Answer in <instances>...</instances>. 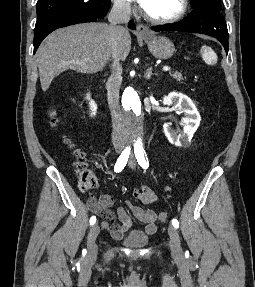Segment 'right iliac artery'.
Wrapping results in <instances>:
<instances>
[{"label":"right iliac artery","mask_w":255,"mask_h":287,"mask_svg":"<svg viewBox=\"0 0 255 287\" xmlns=\"http://www.w3.org/2000/svg\"><path fill=\"white\" fill-rule=\"evenodd\" d=\"M130 154V148H126L122 154L119 156V158L116 161V164L114 166L115 172H121L125 165L127 164L128 157ZM96 222V217L92 216L90 219V225H93Z\"/></svg>","instance_id":"right-iliac-artery-1"}]
</instances>
